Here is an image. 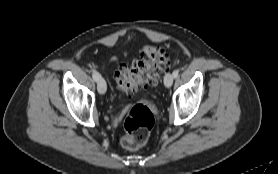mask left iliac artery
I'll list each match as a JSON object with an SVG mask.
<instances>
[{
	"instance_id": "44dca946",
	"label": "left iliac artery",
	"mask_w": 278,
	"mask_h": 174,
	"mask_svg": "<svg viewBox=\"0 0 278 174\" xmlns=\"http://www.w3.org/2000/svg\"><path fill=\"white\" fill-rule=\"evenodd\" d=\"M178 74H179V71H178L177 69H175V70L173 71V77H174V78H177V77H178Z\"/></svg>"
}]
</instances>
